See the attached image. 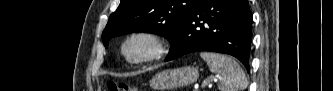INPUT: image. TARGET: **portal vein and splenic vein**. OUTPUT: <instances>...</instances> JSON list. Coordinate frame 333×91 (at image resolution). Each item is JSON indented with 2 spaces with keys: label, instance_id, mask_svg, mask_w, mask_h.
I'll return each instance as SVG.
<instances>
[{
  "label": "portal vein and splenic vein",
  "instance_id": "1",
  "mask_svg": "<svg viewBox=\"0 0 333 91\" xmlns=\"http://www.w3.org/2000/svg\"><path fill=\"white\" fill-rule=\"evenodd\" d=\"M209 82H210V80H205V81L203 82V86L208 85ZM198 89H199L198 86H194V91H198Z\"/></svg>",
  "mask_w": 333,
  "mask_h": 91
}]
</instances>
